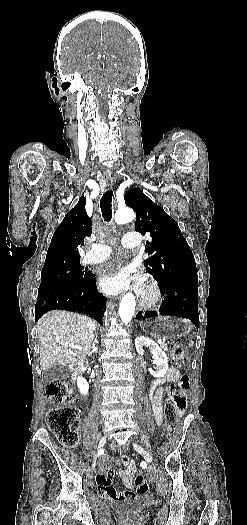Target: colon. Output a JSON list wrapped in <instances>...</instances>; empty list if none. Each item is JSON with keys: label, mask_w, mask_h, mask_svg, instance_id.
<instances>
[{"label": "colon", "mask_w": 247, "mask_h": 525, "mask_svg": "<svg viewBox=\"0 0 247 525\" xmlns=\"http://www.w3.org/2000/svg\"><path fill=\"white\" fill-rule=\"evenodd\" d=\"M170 349L171 358L175 365L181 366L187 361V354L178 343H171ZM178 385L186 389L189 385L188 375L183 374L178 380ZM45 394L51 400L63 405V407L52 408L48 411L47 425L65 446H75L79 438L80 418L74 404V393L63 380H52L46 384ZM187 404L188 400L185 394H174L167 401L165 426L169 434L175 431L178 413L183 412ZM134 481L139 494L146 495L149 492V484L143 473H136Z\"/></svg>", "instance_id": "1"}]
</instances>
